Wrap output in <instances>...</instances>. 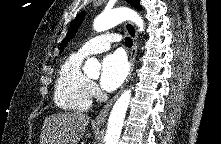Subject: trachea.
I'll use <instances>...</instances> for the list:
<instances>
[{
  "label": "trachea",
  "mask_w": 221,
  "mask_h": 144,
  "mask_svg": "<svg viewBox=\"0 0 221 144\" xmlns=\"http://www.w3.org/2000/svg\"><path fill=\"white\" fill-rule=\"evenodd\" d=\"M125 44L127 47H132L133 41L130 37L125 38Z\"/></svg>",
  "instance_id": "1"
}]
</instances>
